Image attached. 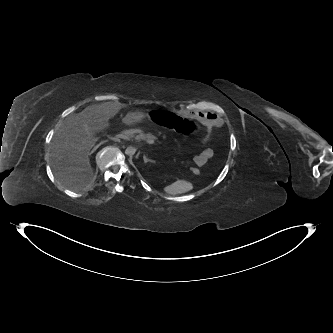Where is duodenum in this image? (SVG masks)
<instances>
[{
  "label": "duodenum",
  "mask_w": 333,
  "mask_h": 333,
  "mask_svg": "<svg viewBox=\"0 0 333 333\" xmlns=\"http://www.w3.org/2000/svg\"><path fill=\"white\" fill-rule=\"evenodd\" d=\"M144 131L141 129H124V130H122L121 132H120V135L121 136H124V135H126V136H128L129 134H142Z\"/></svg>",
  "instance_id": "410a0bca"
}]
</instances>
